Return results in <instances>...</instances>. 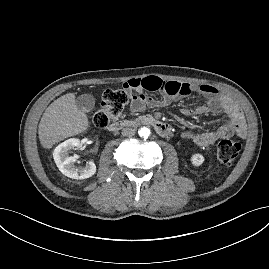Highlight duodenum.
Listing matches in <instances>:
<instances>
[{"mask_svg":"<svg viewBox=\"0 0 269 269\" xmlns=\"http://www.w3.org/2000/svg\"><path fill=\"white\" fill-rule=\"evenodd\" d=\"M136 124L150 125L154 127L157 133L160 134L161 136H169L171 134V127L168 124L160 120H157L156 118L150 115H143L136 119L116 121V122L111 123L108 129L111 132H118L124 127L134 126Z\"/></svg>","mask_w":269,"mask_h":269,"instance_id":"obj_1","label":"duodenum"}]
</instances>
